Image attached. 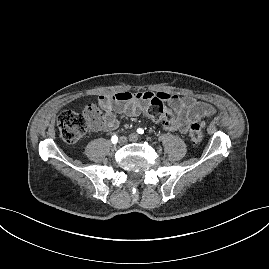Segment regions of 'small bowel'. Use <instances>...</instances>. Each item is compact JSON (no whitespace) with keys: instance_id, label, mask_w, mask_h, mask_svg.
Segmentation results:
<instances>
[{"instance_id":"small-bowel-1","label":"small bowel","mask_w":269,"mask_h":269,"mask_svg":"<svg viewBox=\"0 0 269 269\" xmlns=\"http://www.w3.org/2000/svg\"><path fill=\"white\" fill-rule=\"evenodd\" d=\"M159 96L172 108V116L167 119H154L160 122L163 129L187 133L193 123L205 125L202 119L215 114V108L209 103L196 100L193 97H179L166 93L157 95L151 92H118L101 95L95 106L99 114L97 129L108 131L117 128L116 113L130 116L138 115L145 109L151 99Z\"/></svg>"}]
</instances>
